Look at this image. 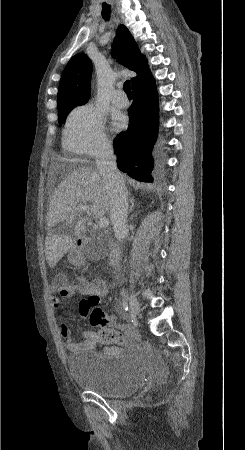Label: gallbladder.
<instances>
[{"label": "gallbladder", "instance_id": "gallbladder-1", "mask_svg": "<svg viewBox=\"0 0 245 450\" xmlns=\"http://www.w3.org/2000/svg\"><path fill=\"white\" fill-rule=\"evenodd\" d=\"M101 248L100 247H92V248H90V252H89V254L91 255V256H99L100 254H101Z\"/></svg>", "mask_w": 245, "mask_h": 450}]
</instances>
